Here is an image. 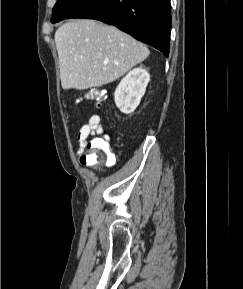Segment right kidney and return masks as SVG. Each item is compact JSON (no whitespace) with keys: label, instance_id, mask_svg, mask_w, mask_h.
Wrapping results in <instances>:
<instances>
[{"label":"right kidney","instance_id":"right-kidney-1","mask_svg":"<svg viewBox=\"0 0 243 289\" xmlns=\"http://www.w3.org/2000/svg\"><path fill=\"white\" fill-rule=\"evenodd\" d=\"M150 81L149 73L142 67L131 70L119 83L114 93L116 106L125 114L139 105Z\"/></svg>","mask_w":243,"mask_h":289}]
</instances>
